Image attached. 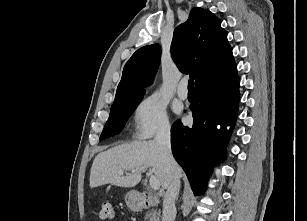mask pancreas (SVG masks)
Instances as JSON below:
<instances>
[{
  "mask_svg": "<svg viewBox=\"0 0 307 221\" xmlns=\"http://www.w3.org/2000/svg\"><path fill=\"white\" fill-rule=\"evenodd\" d=\"M160 212L154 210L152 212H148L145 216V221H159Z\"/></svg>",
  "mask_w": 307,
  "mask_h": 221,
  "instance_id": "1",
  "label": "pancreas"
}]
</instances>
